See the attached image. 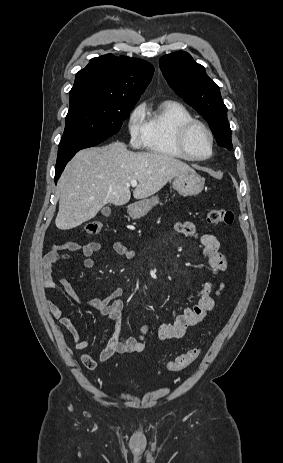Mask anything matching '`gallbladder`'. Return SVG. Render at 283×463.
Here are the masks:
<instances>
[{
  "instance_id": "obj_1",
  "label": "gallbladder",
  "mask_w": 283,
  "mask_h": 463,
  "mask_svg": "<svg viewBox=\"0 0 283 463\" xmlns=\"http://www.w3.org/2000/svg\"><path fill=\"white\" fill-rule=\"evenodd\" d=\"M101 213H102L103 215H105V216H108V215H110L111 210H110L109 207L106 206V207H103V208H102Z\"/></svg>"
}]
</instances>
